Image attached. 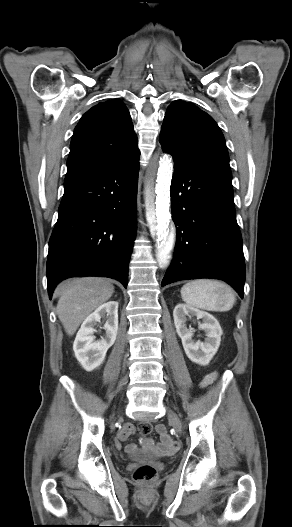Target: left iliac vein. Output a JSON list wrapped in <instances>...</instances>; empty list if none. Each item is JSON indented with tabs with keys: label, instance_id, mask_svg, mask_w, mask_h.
Wrapping results in <instances>:
<instances>
[{
	"label": "left iliac vein",
	"instance_id": "1",
	"mask_svg": "<svg viewBox=\"0 0 292 527\" xmlns=\"http://www.w3.org/2000/svg\"><path fill=\"white\" fill-rule=\"evenodd\" d=\"M167 415L176 431L182 433V423L178 415L170 408L167 410Z\"/></svg>",
	"mask_w": 292,
	"mask_h": 527
}]
</instances>
